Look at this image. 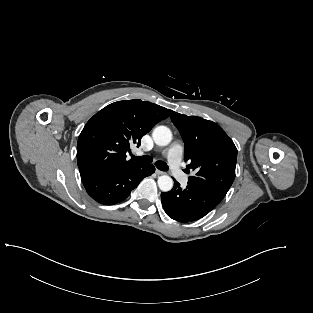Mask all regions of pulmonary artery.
<instances>
[{
    "label": "pulmonary artery",
    "instance_id": "e3ab8cb5",
    "mask_svg": "<svg viewBox=\"0 0 313 313\" xmlns=\"http://www.w3.org/2000/svg\"><path fill=\"white\" fill-rule=\"evenodd\" d=\"M183 154V147L179 143L172 144L166 151V157L173 176L182 184L186 185L188 176L181 169V158Z\"/></svg>",
    "mask_w": 313,
    "mask_h": 313
}]
</instances>
